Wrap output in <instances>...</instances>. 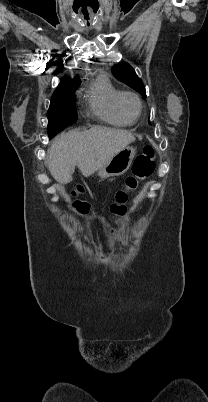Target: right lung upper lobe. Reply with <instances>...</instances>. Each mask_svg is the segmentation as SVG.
Here are the masks:
<instances>
[{
    "instance_id": "1",
    "label": "right lung upper lobe",
    "mask_w": 208,
    "mask_h": 402,
    "mask_svg": "<svg viewBox=\"0 0 208 402\" xmlns=\"http://www.w3.org/2000/svg\"><path fill=\"white\" fill-rule=\"evenodd\" d=\"M79 86V78L71 79L68 76L62 78L60 84L53 93V96L60 95L63 93H68L75 91Z\"/></svg>"
}]
</instances>
